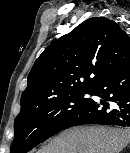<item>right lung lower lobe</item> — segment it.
<instances>
[{
  "instance_id": "obj_1",
  "label": "right lung lower lobe",
  "mask_w": 130,
  "mask_h": 153,
  "mask_svg": "<svg viewBox=\"0 0 130 153\" xmlns=\"http://www.w3.org/2000/svg\"><path fill=\"white\" fill-rule=\"evenodd\" d=\"M91 95L102 100H90L63 127L83 124L118 125L130 127V62L101 78Z\"/></svg>"
}]
</instances>
